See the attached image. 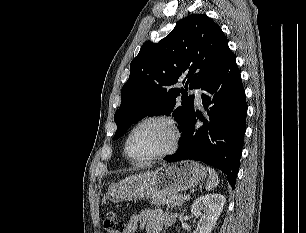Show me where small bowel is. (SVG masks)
I'll use <instances>...</instances> for the list:
<instances>
[{"label": "small bowel", "mask_w": 306, "mask_h": 233, "mask_svg": "<svg viewBox=\"0 0 306 233\" xmlns=\"http://www.w3.org/2000/svg\"><path fill=\"white\" fill-rule=\"evenodd\" d=\"M177 216L161 209H144L140 213L133 214L125 228L124 233H159L163 226L170 227L176 222Z\"/></svg>", "instance_id": "1"}]
</instances>
